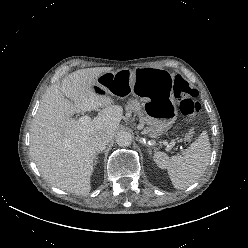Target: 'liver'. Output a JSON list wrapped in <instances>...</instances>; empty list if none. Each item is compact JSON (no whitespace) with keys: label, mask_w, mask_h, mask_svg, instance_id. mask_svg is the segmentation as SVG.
<instances>
[{"label":"liver","mask_w":248,"mask_h":248,"mask_svg":"<svg viewBox=\"0 0 248 248\" xmlns=\"http://www.w3.org/2000/svg\"><path fill=\"white\" fill-rule=\"evenodd\" d=\"M111 67L80 69L48 88L30 129V155L42 177L52 186L76 195L91 190L96 151L91 139L97 133L114 136L123 109L106 94L95 91L97 79ZM101 111L81 123L75 111Z\"/></svg>","instance_id":"obj_1"}]
</instances>
